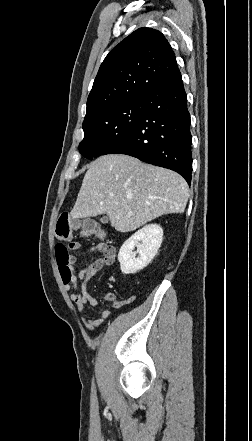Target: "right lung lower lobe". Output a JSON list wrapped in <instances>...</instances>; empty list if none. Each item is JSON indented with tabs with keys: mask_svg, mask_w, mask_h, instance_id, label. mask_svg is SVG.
Returning a JSON list of instances; mask_svg holds the SVG:
<instances>
[{
	"mask_svg": "<svg viewBox=\"0 0 252 441\" xmlns=\"http://www.w3.org/2000/svg\"><path fill=\"white\" fill-rule=\"evenodd\" d=\"M144 110L135 127L105 154H126L178 172L191 184L190 114L179 69L140 98Z\"/></svg>",
	"mask_w": 252,
	"mask_h": 441,
	"instance_id": "right-lung-lower-lobe-1",
	"label": "right lung lower lobe"
}]
</instances>
